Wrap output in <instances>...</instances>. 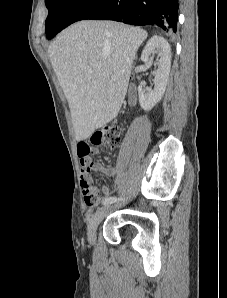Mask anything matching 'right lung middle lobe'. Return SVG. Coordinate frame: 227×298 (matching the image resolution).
<instances>
[{"label":"right lung middle lobe","mask_w":227,"mask_h":298,"mask_svg":"<svg viewBox=\"0 0 227 298\" xmlns=\"http://www.w3.org/2000/svg\"><path fill=\"white\" fill-rule=\"evenodd\" d=\"M103 0H45L48 17L45 22L48 39L70 24L82 20Z\"/></svg>","instance_id":"right-lung-middle-lobe-1"}]
</instances>
